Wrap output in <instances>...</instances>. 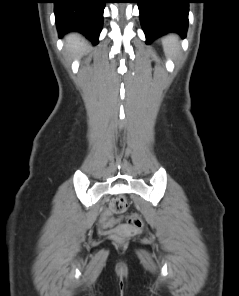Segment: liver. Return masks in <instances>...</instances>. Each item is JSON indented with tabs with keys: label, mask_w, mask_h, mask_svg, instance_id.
<instances>
[{
	"label": "liver",
	"mask_w": 239,
	"mask_h": 296,
	"mask_svg": "<svg viewBox=\"0 0 239 296\" xmlns=\"http://www.w3.org/2000/svg\"><path fill=\"white\" fill-rule=\"evenodd\" d=\"M65 46L74 55L83 54L88 48L86 40L79 34L73 33L66 37Z\"/></svg>",
	"instance_id": "liver-1"
}]
</instances>
